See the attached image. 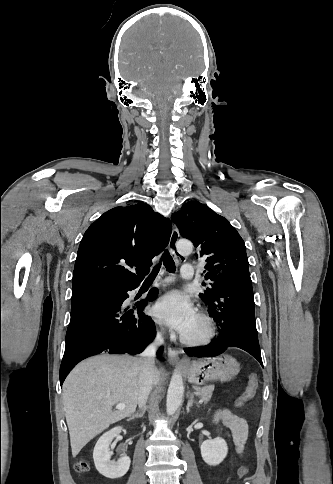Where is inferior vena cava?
I'll use <instances>...</instances> for the list:
<instances>
[{
    "label": "inferior vena cava",
    "mask_w": 333,
    "mask_h": 484,
    "mask_svg": "<svg viewBox=\"0 0 333 484\" xmlns=\"http://www.w3.org/2000/svg\"><path fill=\"white\" fill-rule=\"evenodd\" d=\"M163 343V337L161 333H158L155 341L150 344L136 359L138 367V405L139 408L144 409L148 396L153 386V369L155 367V354L157 346Z\"/></svg>",
    "instance_id": "1"
}]
</instances>
